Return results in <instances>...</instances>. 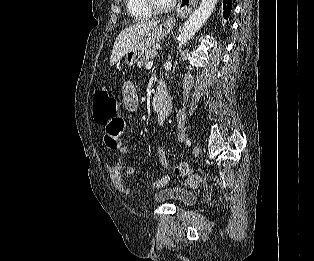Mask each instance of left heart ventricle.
Returning a JSON list of instances; mask_svg holds the SVG:
<instances>
[{"label": "left heart ventricle", "instance_id": "1", "mask_svg": "<svg viewBox=\"0 0 314 261\" xmlns=\"http://www.w3.org/2000/svg\"><path fill=\"white\" fill-rule=\"evenodd\" d=\"M156 3L160 6H165L167 5L169 2H171L172 0H155Z\"/></svg>", "mask_w": 314, "mask_h": 261}]
</instances>
